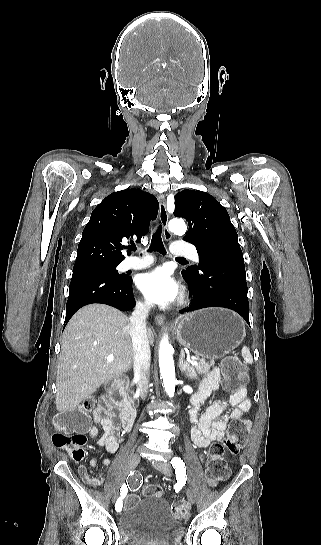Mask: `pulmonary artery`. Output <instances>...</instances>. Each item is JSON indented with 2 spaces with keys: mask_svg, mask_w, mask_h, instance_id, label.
<instances>
[{
  "mask_svg": "<svg viewBox=\"0 0 321 545\" xmlns=\"http://www.w3.org/2000/svg\"><path fill=\"white\" fill-rule=\"evenodd\" d=\"M196 250L194 246H188L186 241H176L174 246L171 249V254L173 257H183L184 260L189 261L193 259L198 261V255L195 254ZM153 264V260H134L126 259L122 261L119 265V269L122 271L126 270H141L148 268Z\"/></svg>",
  "mask_w": 321,
  "mask_h": 545,
  "instance_id": "1",
  "label": "pulmonary artery"
}]
</instances>
